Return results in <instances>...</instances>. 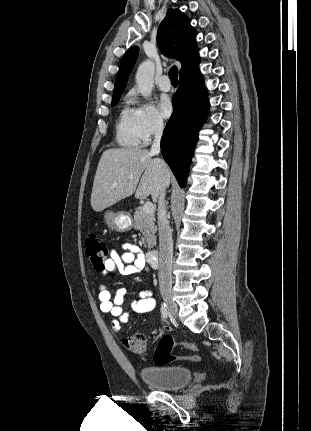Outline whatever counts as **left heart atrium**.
Here are the masks:
<instances>
[{
    "label": "left heart atrium",
    "mask_w": 311,
    "mask_h": 431,
    "mask_svg": "<svg viewBox=\"0 0 311 431\" xmlns=\"http://www.w3.org/2000/svg\"><path fill=\"white\" fill-rule=\"evenodd\" d=\"M160 108L163 116L165 118L171 117L173 113V103L169 96H163L160 101Z\"/></svg>",
    "instance_id": "1"
}]
</instances>
